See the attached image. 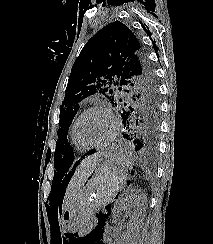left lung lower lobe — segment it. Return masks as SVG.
<instances>
[{"instance_id": "obj_1", "label": "left lung lower lobe", "mask_w": 213, "mask_h": 244, "mask_svg": "<svg viewBox=\"0 0 213 244\" xmlns=\"http://www.w3.org/2000/svg\"><path fill=\"white\" fill-rule=\"evenodd\" d=\"M125 125V130L122 133L123 138L128 141L131 149L138 152L145 157H153L157 153L158 140V124L151 121L137 122L133 120L128 114H121ZM95 151L90 150L85 155H90ZM76 162L73 169L79 164Z\"/></svg>"}]
</instances>
